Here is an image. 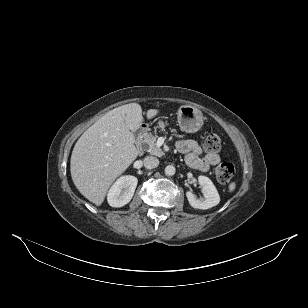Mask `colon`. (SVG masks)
Listing matches in <instances>:
<instances>
[{"instance_id":"1","label":"colon","mask_w":308,"mask_h":308,"mask_svg":"<svg viewBox=\"0 0 308 308\" xmlns=\"http://www.w3.org/2000/svg\"><path fill=\"white\" fill-rule=\"evenodd\" d=\"M221 138L217 133L209 134L204 141V148L208 152H218L221 148ZM235 173L232 163L223 162L216 168V177L221 183L229 182Z\"/></svg>"}]
</instances>
